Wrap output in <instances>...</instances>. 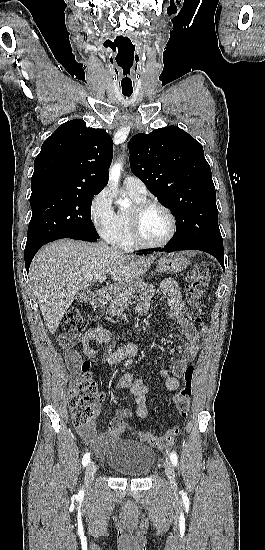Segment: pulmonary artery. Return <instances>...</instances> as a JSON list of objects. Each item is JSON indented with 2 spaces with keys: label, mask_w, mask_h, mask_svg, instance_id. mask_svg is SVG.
<instances>
[{
  "label": "pulmonary artery",
  "mask_w": 265,
  "mask_h": 550,
  "mask_svg": "<svg viewBox=\"0 0 265 550\" xmlns=\"http://www.w3.org/2000/svg\"><path fill=\"white\" fill-rule=\"evenodd\" d=\"M124 185L128 192L146 197L147 188L139 178L135 176H128L124 180Z\"/></svg>",
  "instance_id": "pulmonary-artery-1"
}]
</instances>
